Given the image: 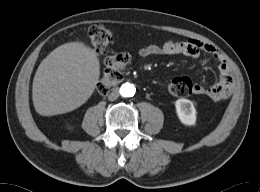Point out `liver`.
<instances>
[{
    "label": "liver",
    "instance_id": "1",
    "mask_svg": "<svg viewBox=\"0 0 260 192\" xmlns=\"http://www.w3.org/2000/svg\"><path fill=\"white\" fill-rule=\"evenodd\" d=\"M100 76L96 52L82 42L65 43L39 65L32 100L43 116L64 114L83 105L93 94Z\"/></svg>",
    "mask_w": 260,
    "mask_h": 192
}]
</instances>
